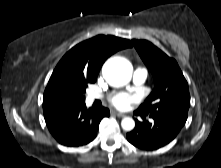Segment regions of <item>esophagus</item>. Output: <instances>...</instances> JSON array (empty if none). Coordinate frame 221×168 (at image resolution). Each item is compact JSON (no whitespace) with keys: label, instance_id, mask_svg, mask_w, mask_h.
Segmentation results:
<instances>
[{"label":"esophagus","instance_id":"1","mask_svg":"<svg viewBox=\"0 0 221 168\" xmlns=\"http://www.w3.org/2000/svg\"><path fill=\"white\" fill-rule=\"evenodd\" d=\"M111 114L120 118L125 117V114L117 112V111H112Z\"/></svg>","mask_w":221,"mask_h":168}]
</instances>
